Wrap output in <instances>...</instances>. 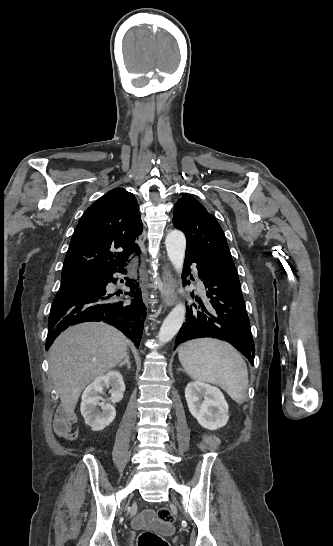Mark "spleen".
<instances>
[{
  "label": "spleen",
  "instance_id": "3e777b00",
  "mask_svg": "<svg viewBox=\"0 0 333 546\" xmlns=\"http://www.w3.org/2000/svg\"><path fill=\"white\" fill-rule=\"evenodd\" d=\"M179 360L194 380L218 385L238 404L245 400L248 370L238 351L224 341L200 338L179 348Z\"/></svg>",
  "mask_w": 333,
  "mask_h": 546
}]
</instances>
